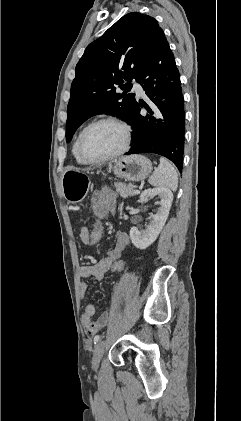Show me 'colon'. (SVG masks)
<instances>
[{
	"instance_id": "1",
	"label": "colon",
	"mask_w": 241,
	"mask_h": 421,
	"mask_svg": "<svg viewBox=\"0 0 241 421\" xmlns=\"http://www.w3.org/2000/svg\"><path fill=\"white\" fill-rule=\"evenodd\" d=\"M104 235V227L101 221L93 214L92 215V225L89 228V234L87 237V245L95 246L102 240ZM126 267V262L123 259L115 260L109 271L113 275L121 274Z\"/></svg>"
}]
</instances>
